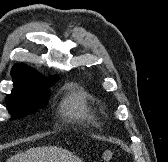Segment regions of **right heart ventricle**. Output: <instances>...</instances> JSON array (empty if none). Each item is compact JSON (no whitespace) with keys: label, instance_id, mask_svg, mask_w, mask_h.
Segmentation results:
<instances>
[{"label":"right heart ventricle","instance_id":"1","mask_svg":"<svg viewBox=\"0 0 168 162\" xmlns=\"http://www.w3.org/2000/svg\"><path fill=\"white\" fill-rule=\"evenodd\" d=\"M63 113L70 119L79 122L93 120L94 112L88 102V96L82 89L74 90L63 102Z\"/></svg>","mask_w":168,"mask_h":162}]
</instances>
